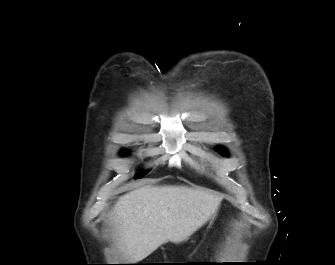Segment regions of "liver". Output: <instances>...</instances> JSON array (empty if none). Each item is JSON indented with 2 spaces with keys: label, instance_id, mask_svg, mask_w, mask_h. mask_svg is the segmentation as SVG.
<instances>
[{
  "label": "liver",
  "instance_id": "1",
  "mask_svg": "<svg viewBox=\"0 0 335 265\" xmlns=\"http://www.w3.org/2000/svg\"><path fill=\"white\" fill-rule=\"evenodd\" d=\"M221 198L187 186L147 185L123 195L113 208L117 245L138 262L167 242L187 240L215 214Z\"/></svg>",
  "mask_w": 335,
  "mask_h": 265
}]
</instances>
